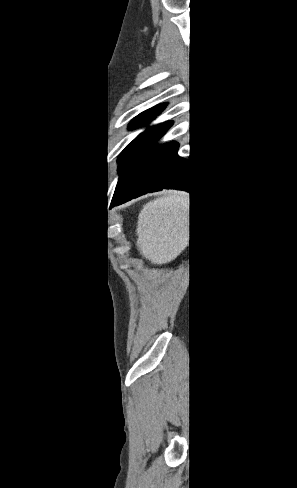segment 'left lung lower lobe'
<instances>
[{
  "instance_id": "0a47b994",
  "label": "left lung lower lobe",
  "mask_w": 297,
  "mask_h": 488,
  "mask_svg": "<svg viewBox=\"0 0 297 488\" xmlns=\"http://www.w3.org/2000/svg\"><path fill=\"white\" fill-rule=\"evenodd\" d=\"M179 144L170 142L143 168L130 186L112 199L111 207L143 194L165 189L193 192L195 179L189 161L177 155Z\"/></svg>"
}]
</instances>
